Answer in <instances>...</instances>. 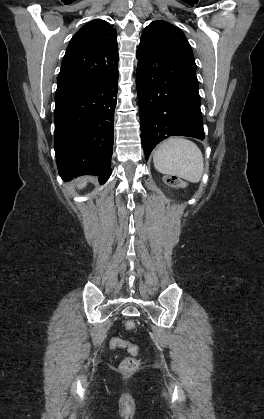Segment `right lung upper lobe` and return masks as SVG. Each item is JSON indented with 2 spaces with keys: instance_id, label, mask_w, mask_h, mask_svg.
<instances>
[{
  "instance_id": "cb5924a9",
  "label": "right lung upper lobe",
  "mask_w": 264,
  "mask_h": 419,
  "mask_svg": "<svg viewBox=\"0 0 264 419\" xmlns=\"http://www.w3.org/2000/svg\"><path fill=\"white\" fill-rule=\"evenodd\" d=\"M118 72L116 30L95 19L71 39L57 80L56 93L94 85Z\"/></svg>"
}]
</instances>
